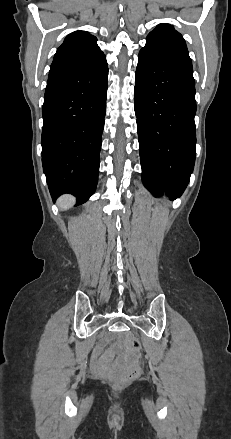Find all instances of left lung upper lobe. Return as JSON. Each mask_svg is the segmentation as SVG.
<instances>
[{
    "label": "left lung upper lobe",
    "instance_id": "1",
    "mask_svg": "<svg viewBox=\"0 0 231 439\" xmlns=\"http://www.w3.org/2000/svg\"><path fill=\"white\" fill-rule=\"evenodd\" d=\"M145 50L162 58L192 64L182 35L170 24H159L146 38Z\"/></svg>",
    "mask_w": 231,
    "mask_h": 439
}]
</instances>
